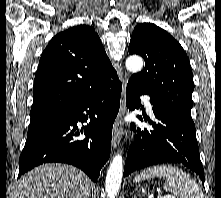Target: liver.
Segmentation results:
<instances>
[{"instance_id":"liver-1","label":"liver","mask_w":221,"mask_h":198,"mask_svg":"<svg viewBox=\"0 0 221 198\" xmlns=\"http://www.w3.org/2000/svg\"><path fill=\"white\" fill-rule=\"evenodd\" d=\"M90 179L76 167L40 165L23 176L12 198H89Z\"/></svg>"}]
</instances>
